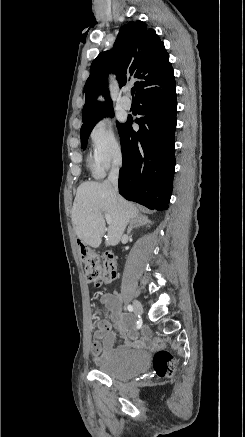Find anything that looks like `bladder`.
Here are the masks:
<instances>
[{
	"label": "bladder",
	"mask_w": 245,
	"mask_h": 437,
	"mask_svg": "<svg viewBox=\"0 0 245 437\" xmlns=\"http://www.w3.org/2000/svg\"><path fill=\"white\" fill-rule=\"evenodd\" d=\"M149 360V353L145 350L120 348L96 366L97 370L113 379L129 380L144 372L148 368Z\"/></svg>",
	"instance_id": "31cf9c89"
}]
</instances>
